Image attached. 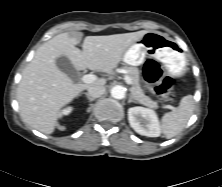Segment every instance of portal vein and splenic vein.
I'll list each match as a JSON object with an SVG mask.
<instances>
[{"mask_svg":"<svg viewBox=\"0 0 222 187\" xmlns=\"http://www.w3.org/2000/svg\"><path fill=\"white\" fill-rule=\"evenodd\" d=\"M96 79H97L96 75L87 74V75H84V76L82 77V82H84V83H92V82H94ZM124 80H125V82H126L128 85L131 84V79H130L129 76L126 75V76L124 77ZM165 108L171 109V110H173V111L176 109L173 105H166Z\"/></svg>","mask_w":222,"mask_h":187,"instance_id":"18ae733b","label":"portal vein and splenic vein"}]
</instances>
